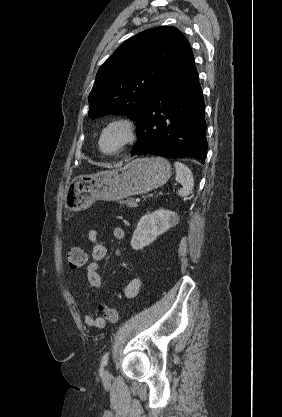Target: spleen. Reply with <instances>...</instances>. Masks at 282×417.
Listing matches in <instances>:
<instances>
[{"label": "spleen", "instance_id": "3e777b00", "mask_svg": "<svg viewBox=\"0 0 282 417\" xmlns=\"http://www.w3.org/2000/svg\"><path fill=\"white\" fill-rule=\"evenodd\" d=\"M174 166L176 168V180L182 184V188L178 190V194L180 196H188L194 184L192 172L183 162H175Z\"/></svg>", "mask_w": 282, "mask_h": 417}]
</instances>
